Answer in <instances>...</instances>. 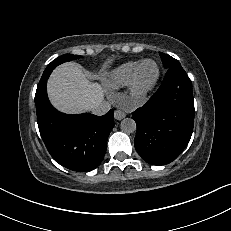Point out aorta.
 <instances>
[{
  "label": "aorta",
  "instance_id": "762f6f07",
  "mask_svg": "<svg viewBox=\"0 0 231 231\" xmlns=\"http://www.w3.org/2000/svg\"><path fill=\"white\" fill-rule=\"evenodd\" d=\"M120 127L125 133H133L136 130V122L132 118H125L121 121Z\"/></svg>",
  "mask_w": 231,
  "mask_h": 231
}]
</instances>
